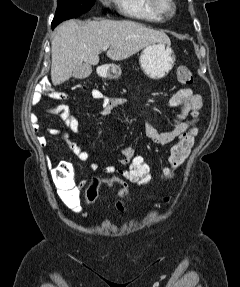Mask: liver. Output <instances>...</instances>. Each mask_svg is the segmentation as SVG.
Returning <instances> with one entry per match:
<instances>
[{"instance_id":"obj_1","label":"liver","mask_w":240,"mask_h":287,"mask_svg":"<svg viewBox=\"0 0 240 287\" xmlns=\"http://www.w3.org/2000/svg\"><path fill=\"white\" fill-rule=\"evenodd\" d=\"M157 42L170 43V39L165 32L134 21L100 20L82 25L66 21L57 28L51 43L52 83L56 86L69 80L82 63L97 65L103 46L109 47L108 58L120 61Z\"/></svg>"}]
</instances>
